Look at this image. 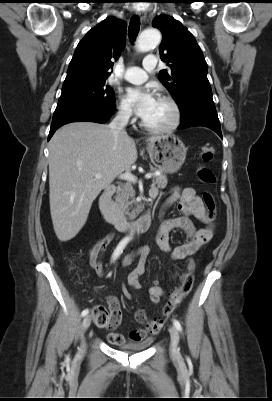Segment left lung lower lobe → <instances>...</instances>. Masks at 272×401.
I'll list each match as a JSON object with an SVG mask.
<instances>
[{
  "mask_svg": "<svg viewBox=\"0 0 272 401\" xmlns=\"http://www.w3.org/2000/svg\"><path fill=\"white\" fill-rule=\"evenodd\" d=\"M181 125L179 129L192 126H205L214 130L221 138L220 122L215 109V105H198L190 107L181 113Z\"/></svg>",
  "mask_w": 272,
  "mask_h": 401,
  "instance_id": "left-lung-lower-lobe-1",
  "label": "left lung lower lobe"
}]
</instances>
